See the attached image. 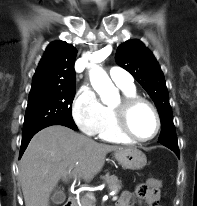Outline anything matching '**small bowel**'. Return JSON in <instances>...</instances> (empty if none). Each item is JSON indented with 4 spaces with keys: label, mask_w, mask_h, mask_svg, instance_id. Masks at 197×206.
I'll return each mask as SVG.
<instances>
[{
    "label": "small bowel",
    "mask_w": 197,
    "mask_h": 206,
    "mask_svg": "<svg viewBox=\"0 0 197 206\" xmlns=\"http://www.w3.org/2000/svg\"><path fill=\"white\" fill-rule=\"evenodd\" d=\"M159 187L153 189L147 185L142 186L138 193L141 202L147 203L148 206H159ZM134 196V192L125 191L120 197L117 206H130Z\"/></svg>",
    "instance_id": "obj_1"
}]
</instances>
